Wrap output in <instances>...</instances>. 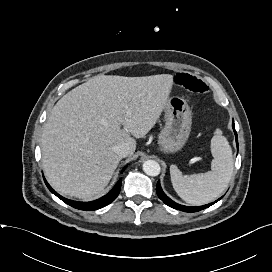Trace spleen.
I'll list each match as a JSON object with an SVG mask.
<instances>
[{
    "label": "spleen",
    "instance_id": "obj_1",
    "mask_svg": "<svg viewBox=\"0 0 272 272\" xmlns=\"http://www.w3.org/2000/svg\"><path fill=\"white\" fill-rule=\"evenodd\" d=\"M211 171L183 175L175 165L170 167L171 181L176 193L187 203L204 205L212 202L227 188L234 169L231 147L220 129L211 139Z\"/></svg>",
    "mask_w": 272,
    "mask_h": 272
}]
</instances>
